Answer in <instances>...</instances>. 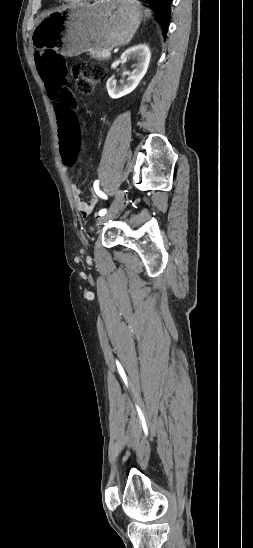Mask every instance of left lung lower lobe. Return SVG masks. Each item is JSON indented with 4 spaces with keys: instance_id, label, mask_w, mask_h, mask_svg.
Listing matches in <instances>:
<instances>
[{
    "instance_id": "obj_1",
    "label": "left lung lower lobe",
    "mask_w": 253,
    "mask_h": 548,
    "mask_svg": "<svg viewBox=\"0 0 253 548\" xmlns=\"http://www.w3.org/2000/svg\"><path fill=\"white\" fill-rule=\"evenodd\" d=\"M154 5L158 15V23L161 25L163 35L166 36L169 26L170 9L172 0H147Z\"/></svg>"
}]
</instances>
